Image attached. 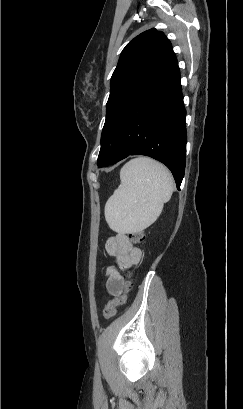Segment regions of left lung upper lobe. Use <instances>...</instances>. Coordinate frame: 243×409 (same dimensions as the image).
Instances as JSON below:
<instances>
[{"instance_id":"left-lung-upper-lobe-1","label":"left lung upper lobe","mask_w":243,"mask_h":409,"mask_svg":"<svg viewBox=\"0 0 243 409\" xmlns=\"http://www.w3.org/2000/svg\"><path fill=\"white\" fill-rule=\"evenodd\" d=\"M173 54L168 38L156 29L141 33L123 49L111 77L98 164L108 165L114 158L117 132L123 117L151 78Z\"/></svg>"}]
</instances>
